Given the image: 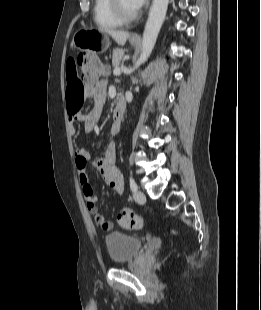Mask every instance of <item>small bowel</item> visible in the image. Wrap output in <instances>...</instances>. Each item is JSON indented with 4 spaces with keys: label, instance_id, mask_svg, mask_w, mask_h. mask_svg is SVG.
I'll list each match as a JSON object with an SVG mask.
<instances>
[{
    "label": "small bowel",
    "instance_id": "obj_1",
    "mask_svg": "<svg viewBox=\"0 0 261 310\" xmlns=\"http://www.w3.org/2000/svg\"><path fill=\"white\" fill-rule=\"evenodd\" d=\"M67 106L70 120V131L76 133L75 124L83 121L88 132H92L99 124L102 106L106 95V82L100 81L93 84H81L76 76L75 63L72 59L68 61L67 69ZM84 97L92 99V106L85 112H80L82 100ZM119 126L114 124L111 128V134L115 135ZM91 160V154L86 149H78L75 152V164L79 174V181L82 187L83 195L86 200L87 208L104 230H111L113 223L104 218L96 205L95 196L90 184L88 173V162ZM92 166L98 170L108 187L117 194H121L124 189V179L120 170L116 167V145L111 140L105 147L101 157L92 162Z\"/></svg>",
    "mask_w": 261,
    "mask_h": 310
}]
</instances>
